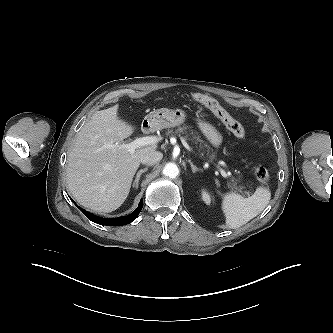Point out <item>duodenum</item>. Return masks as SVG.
Returning <instances> with one entry per match:
<instances>
[{
  "instance_id": "duodenum-1",
  "label": "duodenum",
  "mask_w": 333,
  "mask_h": 333,
  "mask_svg": "<svg viewBox=\"0 0 333 333\" xmlns=\"http://www.w3.org/2000/svg\"><path fill=\"white\" fill-rule=\"evenodd\" d=\"M148 127L146 125L143 126V129L146 130Z\"/></svg>"
}]
</instances>
